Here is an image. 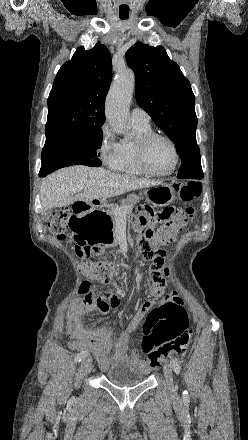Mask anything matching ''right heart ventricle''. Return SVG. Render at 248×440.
<instances>
[{"label":"right heart ventricle","mask_w":248,"mask_h":440,"mask_svg":"<svg viewBox=\"0 0 248 440\" xmlns=\"http://www.w3.org/2000/svg\"><path fill=\"white\" fill-rule=\"evenodd\" d=\"M137 138L134 141L120 143L119 161L115 167V171L126 175H143L136 160V144L139 138L152 132L149 126L133 124Z\"/></svg>","instance_id":"1"}]
</instances>
